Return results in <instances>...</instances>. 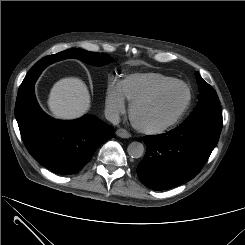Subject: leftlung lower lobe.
<instances>
[{
	"instance_id": "1",
	"label": "left lung lower lobe",
	"mask_w": 245,
	"mask_h": 245,
	"mask_svg": "<svg viewBox=\"0 0 245 245\" xmlns=\"http://www.w3.org/2000/svg\"><path fill=\"white\" fill-rule=\"evenodd\" d=\"M221 130L203 123L181 124L168 133L143 137L147 150L137 167L140 181L164 190L193 179L217 145Z\"/></svg>"
}]
</instances>
